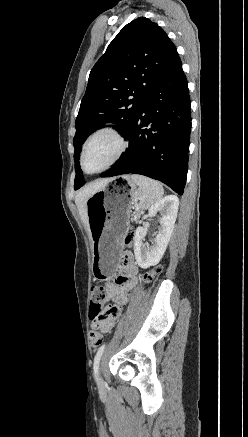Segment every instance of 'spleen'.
I'll return each mask as SVG.
<instances>
[{"label": "spleen", "instance_id": "3e777b00", "mask_svg": "<svg viewBox=\"0 0 248 437\" xmlns=\"http://www.w3.org/2000/svg\"><path fill=\"white\" fill-rule=\"evenodd\" d=\"M131 179L139 186L136 195L140 200L139 205L142 209L153 206L164 194L161 183L156 180L137 174L132 175Z\"/></svg>", "mask_w": 248, "mask_h": 437}]
</instances>
